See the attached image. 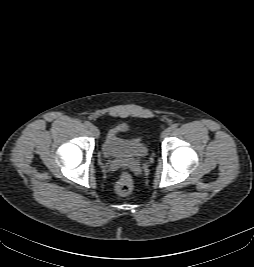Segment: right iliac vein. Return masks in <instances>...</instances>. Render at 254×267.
Wrapping results in <instances>:
<instances>
[{
    "instance_id": "63e3f726",
    "label": "right iliac vein",
    "mask_w": 254,
    "mask_h": 267,
    "mask_svg": "<svg viewBox=\"0 0 254 267\" xmlns=\"http://www.w3.org/2000/svg\"><path fill=\"white\" fill-rule=\"evenodd\" d=\"M89 129H90L91 134L94 137H98L99 136L100 132H99V129L96 126L91 125Z\"/></svg>"
}]
</instances>
